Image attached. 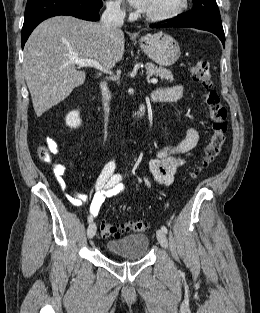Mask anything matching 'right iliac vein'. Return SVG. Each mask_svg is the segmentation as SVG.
Masks as SVG:
<instances>
[{
  "instance_id": "1",
  "label": "right iliac vein",
  "mask_w": 260,
  "mask_h": 313,
  "mask_svg": "<svg viewBox=\"0 0 260 313\" xmlns=\"http://www.w3.org/2000/svg\"><path fill=\"white\" fill-rule=\"evenodd\" d=\"M96 234V225L95 223H90L87 229L88 238L92 239Z\"/></svg>"
}]
</instances>
